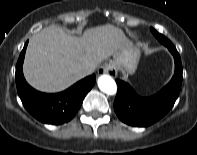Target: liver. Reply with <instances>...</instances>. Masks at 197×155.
Masks as SVG:
<instances>
[{
	"instance_id": "obj_1",
	"label": "liver",
	"mask_w": 197,
	"mask_h": 155,
	"mask_svg": "<svg viewBox=\"0 0 197 155\" xmlns=\"http://www.w3.org/2000/svg\"><path fill=\"white\" fill-rule=\"evenodd\" d=\"M123 31L113 25L88 29L82 37L66 34L51 25L33 35L23 66L27 82L44 92L62 91L86 75L82 68L96 69L128 45Z\"/></svg>"
}]
</instances>
